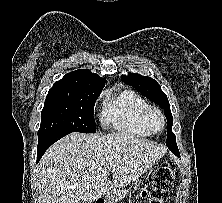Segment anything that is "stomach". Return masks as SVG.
Wrapping results in <instances>:
<instances>
[{
  "label": "stomach",
  "instance_id": "1",
  "mask_svg": "<svg viewBox=\"0 0 222 203\" xmlns=\"http://www.w3.org/2000/svg\"><path fill=\"white\" fill-rule=\"evenodd\" d=\"M121 195L124 196V195H125V192H122Z\"/></svg>",
  "mask_w": 222,
  "mask_h": 203
}]
</instances>
